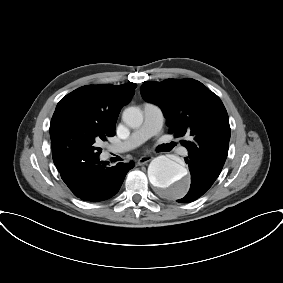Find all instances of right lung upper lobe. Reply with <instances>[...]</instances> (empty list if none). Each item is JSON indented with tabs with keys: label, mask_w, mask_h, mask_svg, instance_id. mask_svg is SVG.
Segmentation results:
<instances>
[{
	"label": "right lung upper lobe",
	"mask_w": 283,
	"mask_h": 283,
	"mask_svg": "<svg viewBox=\"0 0 283 283\" xmlns=\"http://www.w3.org/2000/svg\"><path fill=\"white\" fill-rule=\"evenodd\" d=\"M135 83L122 85H87L66 95L57 104L50 124L52 157L58 170L68 163L66 156V127L70 122L93 124L115 134L121 108L130 102Z\"/></svg>",
	"instance_id": "cb5924a9"
}]
</instances>
